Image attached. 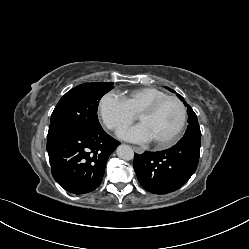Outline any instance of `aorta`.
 Segmentation results:
<instances>
[{"label":"aorta","instance_id":"aorta-1","mask_svg":"<svg viewBox=\"0 0 249 249\" xmlns=\"http://www.w3.org/2000/svg\"><path fill=\"white\" fill-rule=\"evenodd\" d=\"M117 156L125 161L132 160L134 158V151L129 145H120L116 149Z\"/></svg>","mask_w":249,"mask_h":249}]
</instances>
